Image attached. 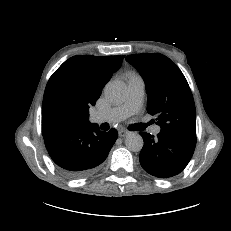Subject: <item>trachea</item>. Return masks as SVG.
Segmentation results:
<instances>
[{
	"mask_svg": "<svg viewBox=\"0 0 231 231\" xmlns=\"http://www.w3.org/2000/svg\"><path fill=\"white\" fill-rule=\"evenodd\" d=\"M148 126V124H136L130 127V130L132 131H139V130H143Z\"/></svg>",
	"mask_w": 231,
	"mask_h": 231,
	"instance_id": "obj_1",
	"label": "trachea"
}]
</instances>
